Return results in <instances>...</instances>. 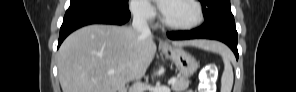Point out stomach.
<instances>
[{"instance_id": "0dacf381", "label": "stomach", "mask_w": 296, "mask_h": 92, "mask_svg": "<svg viewBox=\"0 0 296 92\" xmlns=\"http://www.w3.org/2000/svg\"><path fill=\"white\" fill-rule=\"evenodd\" d=\"M162 51L175 63L182 77L188 79L198 69L197 60L182 47L162 48Z\"/></svg>"}]
</instances>
